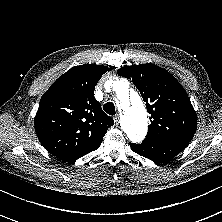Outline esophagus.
Instances as JSON below:
<instances>
[{
    "label": "esophagus",
    "mask_w": 222,
    "mask_h": 222,
    "mask_svg": "<svg viewBox=\"0 0 222 222\" xmlns=\"http://www.w3.org/2000/svg\"><path fill=\"white\" fill-rule=\"evenodd\" d=\"M113 119H114L115 124H116V125H119L120 115H119V114H116Z\"/></svg>",
    "instance_id": "esophagus-1"
}]
</instances>
